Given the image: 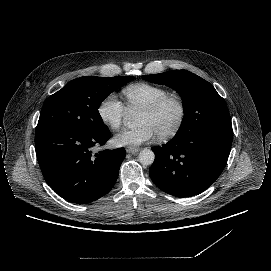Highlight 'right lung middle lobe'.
Masks as SVG:
<instances>
[{
    "label": "right lung middle lobe",
    "mask_w": 271,
    "mask_h": 271,
    "mask_svg": "<svg viewBox=\"0 0 271 271\" xmlns=\"http://www.w3.org/2000/svg\"><path fill=\"white\" fill-rule=\"evenodd\" d=\"M132 79L133 76H84L72 80L46 100L36 132L48 128L92 132L106 127L98 112L101 102Z\"/></svg>",
    "instance_id": "dd1d6c3e"
}]
</instances>
